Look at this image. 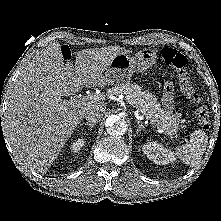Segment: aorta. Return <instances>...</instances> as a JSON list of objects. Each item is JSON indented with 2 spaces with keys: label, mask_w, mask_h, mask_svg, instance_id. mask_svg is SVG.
Wrapping results in <instances>:
<instances>
[{
  "label": "aorta",
  "mask_w": 221,
  "mask_h": 221,
  "mask_svg": "<svg viewBox=\"0 0 221 221\" xmlns=\"http://www.w3.org/2000/svg\"><path fill=\"white\" fill-rule=\"evenodd\" d=\"M107 132L112 136H121L127 132L128 125L118 115H111L106 120Z\"/></svg>",
  "instance_id": "aorta-1"
}]
</instances>
